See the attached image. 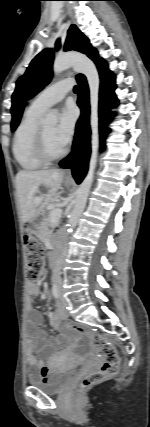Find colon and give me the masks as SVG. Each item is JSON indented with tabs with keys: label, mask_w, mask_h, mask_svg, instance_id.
<instances>
[{
	"label": "colon",
	"mask_w": 150,
	"mask_h": 427,
	"mask_svg": "<svg viewBox=\"0 0 150 427\" xmlns=\"http://www.w3.org/2000/svg\"><path fill=\"white\" fill-rule=\"evenodd\" d=\"M23 241L27 256L26 275L29 281L36 282L43 274V250L37 238L29 232L25 233ZM69 330L71 329L69 328ZM73 332L81 336L101 359L99 369L83 378L81 382L82 388H89L117 374L119 356L115 346L109 340L100 335L89 334L80 326Z\"/></svg>",
	"instance_id": "colon-1"
}]
</instances>
